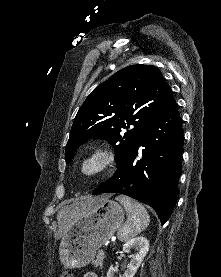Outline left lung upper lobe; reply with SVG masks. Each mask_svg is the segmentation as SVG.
Masks as SVG:
<instances>
[{
  "mask_svg": "<svg viewBox=\"0 0 221 277\" xmlns=\"http://www.w3.org/2000/svg\"><path fill=\"white\" fill-rule=\"evenodd\" d=\"M173 101L172 90L157 67L137 64L119 70L80 107L66 146V163L82 143L98 138L115 145L118 168L144 129Z\"/></svg>",
  "mask_w": 221,
  "mask_h": 277,
  "instance_id": "1",
  "label": "left lung upper lobe"
}]
</instances>
